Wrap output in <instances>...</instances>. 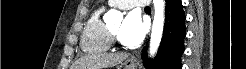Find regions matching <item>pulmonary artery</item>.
I'll use <instances>...</instances> for the list:
<instances>
[{"instance_id": "obj_1", "label": "pulmonary artery", "mask_w": 246, "mask_h": 69, "mask_svg": "<svg viewBox=\"0 0 246 69\" xmlns=\"http://www.w3.org/2000/svg\"><path fill=\"white\" fill-rule=\"evenodd\" d=\"M109 3L111 5L118 6L123 9H128L132 7H143L149 5L148 1H137V0H121V1L111 0L109 1Z\"/></svg>"}]
</instances>
